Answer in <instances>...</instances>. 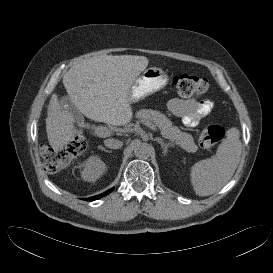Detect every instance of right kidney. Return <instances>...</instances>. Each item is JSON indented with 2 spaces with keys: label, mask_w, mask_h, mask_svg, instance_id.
Masks as SVG:
<instances>
[{
  "label": "right kidney",
  "mask_w": 273,
  "mask_h": 273,
  "mask_svg": "<svg viewBox=\"0 0 273 273\" xmlns=\"http://www.w3.org/2000/svg\"><path fill=\"white\" fill-rule=\"evenodd\" d=\"M105 169V163L98 156H92L84 164L82 178L86 181H95L105 172Z\"/></svg>",
  "instance_id": "obj_1"
}]
</instances>
